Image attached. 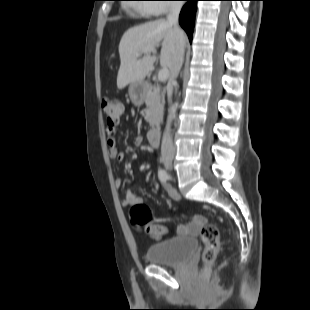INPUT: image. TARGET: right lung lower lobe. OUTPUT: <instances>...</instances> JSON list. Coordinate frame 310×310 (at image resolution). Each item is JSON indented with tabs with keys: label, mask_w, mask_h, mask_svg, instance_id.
Wrapping results in <instances>:
<instances>
[{
	"label": "right lung lower lobe",
	"mask_w": 310,
	"mask_h": 310,
	"mask_svg": "<svg viewBox=\"0 0 310 310\" xmlns=\"http://www.w3.org/2000/svg\"><path fill=\"white\" fill-rule=\"evenodd\" d=\"M188 1L182 8L179 16V23L181 27L186 31L190 42L192 41L195 13L197 9L198 0H186Z\"/></svg>",
	"instance_id": "obj_1"
}]
</instances>
